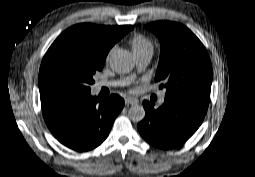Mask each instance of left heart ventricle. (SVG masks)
Masks as SVG:
<instances>
[{
  "mask_svg": "<svg viewBox=\"0 0 255 177\" xmlns=\"http://www.w3.org/2000/svg\"><path fill=\"white\" fill-rule=\"evenodd\" d=\"M139 72L137 68H134L130 73H129V78L130 79H135L138 76Z\"/></svg>",
  "mask_w": 255,
  "mask_h": 177,
  "instance_id": "1",
  "label": "left heart ventricle"
}]
</instances>
